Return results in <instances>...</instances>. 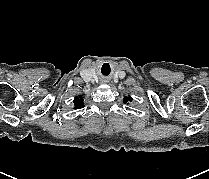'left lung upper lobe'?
Instances as JSON below:
<instances>
[{"label": "left lung upper lobe", "instance_id": "5c2ea615", "mask_svg": "<svg viewBox=\"0 0 209 179\" xmlns=\"http://www.w3.org/2000/svg\"><path fill=\"white\" fill-rule=\"evenodd\" d=\"M130 101H132V97L131 96L124 98V103L130 102Z\"/></svg>", "mask_w": 209, "mask_h": 179}]
</instances>
